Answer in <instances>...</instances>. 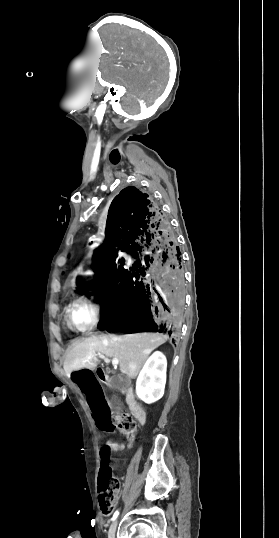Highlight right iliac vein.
<instances>
[{
    "label": "right iliac vein",
    "mask_w": 279,
    "mask_h": 538,
    "mask_svg": "<svg viewBox=\"0 0 279 538\" xmlns=\"http://www.w3.org/2000/svg\"><path fill=\"white\" fill-rule=\"evenodd\" d=\"M117 527V521H114L108 531V538H115V531Z\"/></svg>",
    "instance_id": "obj_1"
}]
</instances>
